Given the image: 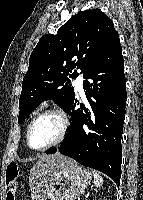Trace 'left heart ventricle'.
Instances as JSON below:
<instances>
[{
	"instance_id": "1",
	"label": "left heart ventricle",
	"mask_w": 143,
	"mask_h": 200,
	"mask_svg": "<svg viewBox=\"0 0 143 200\" xmlns=\"http://www.w3.org/2000/svg\"><path fill=\"white\" fill-rule=\"evenodd\" d=\"M62 122L56 115H46L32 126L29 141L32 147L41 148L54 141L60 134Z\"/></svg>"
}]
</instances>
